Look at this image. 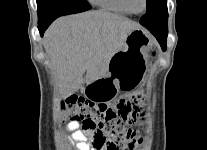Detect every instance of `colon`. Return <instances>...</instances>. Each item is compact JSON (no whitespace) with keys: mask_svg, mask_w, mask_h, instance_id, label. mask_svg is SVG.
<instances>
[{"mask_svg":"<svg viewBox=\"0 0 207 150\" xmlns=\"http://www.w3.org/2000/svg\"><path fill=\"white\" fill-rule=\"evenodd\" d=\"M139 99V95H132L107 104L72 96L62 101L60 109L63 120H79L86 132L94 134L93 145L98 150H135L140 140L129 124L151 122V117L138 114L143 110L137 106Z\"/></svg>","mask_w":207,"mask_h":150,"instance_id":"obj_1","label":"colon"}]
</instances>
